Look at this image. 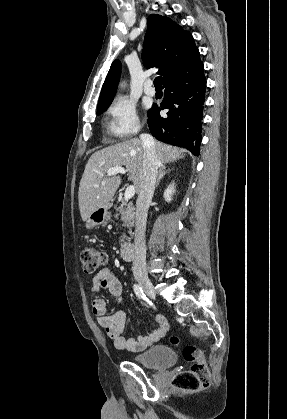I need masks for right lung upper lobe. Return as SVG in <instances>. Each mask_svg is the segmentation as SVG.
Returning <instances> with one entry per match:
<instances>
[{
  "label": "right lung upper lobe",
  "instance_id": "1",
  "mask_svg": "<svg viewBox=\"0 0 287 419\" xmlns=\"http://www.w3.org/2000/svg\"><path fill=\"white\" fill-rule=\"evenodd\" d=\"M147 26L142 57L146 66L159 68L163 84L191 74L203 66L194 39L188 31L169 18L156 14L148 17ZM120 74L121 63L115 60L102 86L98 108L112 102Z\"/></svg>",
  "mask_w": 287,
  "mask_h": 419
}]
</instances>
